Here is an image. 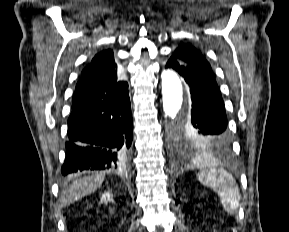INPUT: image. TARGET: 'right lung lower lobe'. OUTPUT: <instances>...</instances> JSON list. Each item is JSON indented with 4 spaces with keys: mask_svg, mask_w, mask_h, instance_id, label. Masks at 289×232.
I'll return each mask as SVG.
<instances>
[{
    "mask_svg": "<svg viewBox=\"0 0 289 232\" xmlns=\"http://www.w3.org/2000/svg\"><path fill=\"white\" fill-rule=\"evenodd\" d=\"M62 174L117 168L133 138L128 90L118 97L72 107Z\"/></svg>",
    "mask_w": 289,
    "mask_h": 232,
    "instance_id": "1",
    "label": "right lung lower lobe"
}]
</instances>
